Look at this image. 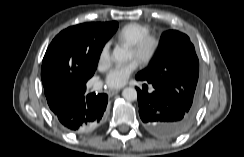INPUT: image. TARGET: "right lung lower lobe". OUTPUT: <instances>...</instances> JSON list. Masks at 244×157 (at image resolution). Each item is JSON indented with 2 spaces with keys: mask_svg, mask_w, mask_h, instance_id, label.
<instances>
[{
  "mask_svg": "<svg viewBox=\"0 0 244 157\" xmlns=\"http://www.w3.org/2000/svg\"><path fill=\"white\" fill-rule=\"evenodd\" d=\"M85 91L86 85H70L51 94H45L55 119L68 131L88 133L104 121L107 95L85 94Z\"/></svg>",
  "mask_w": 244,
  "mask_h": 157,
  "instance_id": "right-lung-lower-lobe-1",
  "label": "right lung lower lobe"
}]
</instances>
